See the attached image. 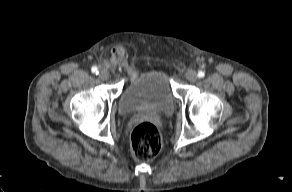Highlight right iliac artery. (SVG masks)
I'll use <instances>...</instances> for the list:
<instances>
[{
    "instance_id": "right-iliac-artery-1",
    "label": "right iliac artery",
    "mask_w": 292,
    "mask_h": 192,
    "mask_svg": "<svg viewBox=\"0 0 292 192\" xmlns=\"http://www.w3.org/2000/svg\"><path fill=\"white\" fill-rule=\"evenodd\" d=\"M91 71H92V73H94V74H98V69H97V67H92V69H91Z\"/></svg>"
}]
</instances>
